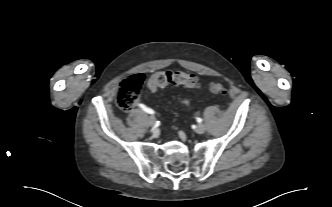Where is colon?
I'll return each mask as SVG.
<instances>
[{
  "label": "colon",
  "instance_id": "colon-1",
  "mask_svg": "<svg viewBox=\"0 0 332 207\" xmlns=\"http://www.w3.org/2000/svg\"><path fill=\"white\" fill-rule=\"evenodd\" d=\"M143 83L144 76L142 74H134L121 82L116 96V103L122 111H129L133 108L142 94ZM169 85H182L187 88H198L199 81L193 74L182 71L166 70L153 74L147 83L150 92ZM209 90L213 94L223 95L227 93V86L220 82H212L209 85ZM184 103L187 104L188 101L185 100Z\"/></svg>",
  "mask_w": 332,
  "mask_h": 207
}]
</instances>
